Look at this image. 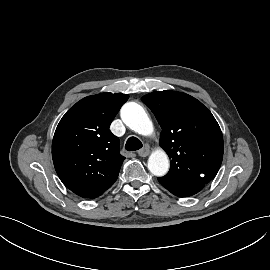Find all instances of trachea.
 I'll list each match as a JSON object with an SVG mask.
<instances>
[{
	"mask_svg": "<svg viewBox=\"0 0 270 270\" xmlns=\"http://www.w3.org/2000/svg\"><path fill=\"white\" fill-rule=\"evenodd\" d=\"M142 146L143 145L138 138L130 137L125 144V149L127 151H136V150H139L140 148H142Z\"/></svg>",
	"mask_w": 270,
	"mask_h": 270,
	"instance_id": "obj_1",
	"label": "trachea"
}]
</instances>
